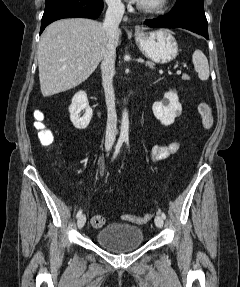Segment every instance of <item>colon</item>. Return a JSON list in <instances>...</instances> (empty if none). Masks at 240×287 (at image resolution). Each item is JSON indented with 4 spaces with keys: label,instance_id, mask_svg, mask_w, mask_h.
Returning <instances> with one entry per match:
<instances>
[{
    "label": "colon",
    "instance_id": "5ec220e1",
    "mask_svg": "<svg viewBox=\"0 0 240 287\" xmlns=\"http://www.w3.org/2000/svg\"><path fill=\"white\" fill-rule=\"evenodd\" d=\"M198 112L202 119V124L205 128H210L213 124L212 108L206 102H201L198 105ZM35 122L34 126L38 131V138L43 145L49 146L54 142L53 133L44 125V115L41 111L34 112ZM151 214L143 216L123 215L122 219L125 221L134 222L137 224H145L151 220ZM91 224L95 228H100L105 224V218L102 215H96L91 219Z\"/></svg>",
    "mask_w": 240,
    "mask_h": 287
}]
</instances>
